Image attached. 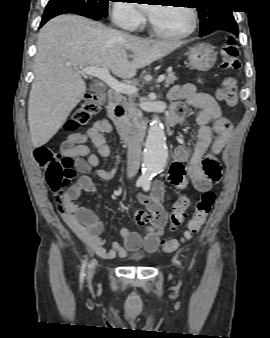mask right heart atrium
Wrapping results in <instances>:
<instances>
[{
    "label": "right heart atrium",
    "instance_id": "1",
    "mask_svg": "<svg viewBox=\"0 0 270 338\" xmlns=\"http://www.w3.org/2000/svg\"><path fill=\"white\" fill-rule=\"evenodd\" d=\"M113 22L122 28L133 30L141 27L145 22L144 15L133 3L121 1L112 7Z\"/></svg>",
    "mask_w": 270,
    "mask_h": 338
}]
</instances>
